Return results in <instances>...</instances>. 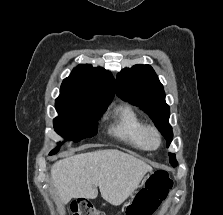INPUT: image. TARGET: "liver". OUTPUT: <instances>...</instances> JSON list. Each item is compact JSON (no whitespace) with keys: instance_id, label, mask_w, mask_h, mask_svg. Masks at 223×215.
<instances>
[{"instance_id":"obj_1","label":"liver","mask_w":223,"mask_h":215,"mask_svg":"<svg viewBox=\"0 0 223 215\" xmlns=\"http://www.w3.org/2000/svg\"><path fill=\"white\" fill-rule=\"evenodd\" d=\"M151 165L119 149H99L59 159L51 167V177L63 203L72 197L95 199L98 185L102 197L120 205L138 187Z\"/></svg>"}]
</instances>
